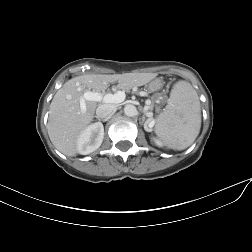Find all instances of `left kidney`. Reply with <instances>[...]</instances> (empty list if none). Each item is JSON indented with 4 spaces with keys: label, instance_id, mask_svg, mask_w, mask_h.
Segmentation results:
<instances>
[{
    "label": "left kidney",
    "instance_id": "5707ae66",
    "mask_svg": "<svg viewBox=\"0 0 252 252\" xmlns=\"http://www.w3.org/2000/svg\"><path fill=\"white\" fill-rule=\"evenodd\" d=\"M155 141V143L158 145V146H161L162 145V143L160 142V141H158V140H154Z\"/></svg>",
    "mask_w": 252,
    "mask_h": 252
}]
</instances>
